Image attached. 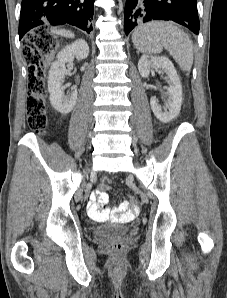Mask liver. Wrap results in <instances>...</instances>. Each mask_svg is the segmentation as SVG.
I'll return each mask as SVG.
<instances>
[{"label": "liver", "instance_id": "6515ba94", "mask_svg": "<svg viewBox=\"0 0 227 298\" xmlns=\"http://www.w3.org/2000/svg\"><path fill=\"white\" fill-rule=\"evenodd\" d=\"M54 33L64 36V37H68V38H73L74 34L70 31L67 30H55Z\"/></svg>", "mask_w": 227, "mask_h": 298}]
</instances>
